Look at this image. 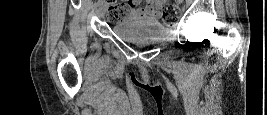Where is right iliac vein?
Wrapping results in <instances>:
<instances>
[{
	"label": "right iliac vein",
	"instance_id": "obj_1",
	"mask_svg": "<svg viewBox=\"0 0 267 115\" xmlns=\"http://www.w3.org/2000/svg\"><path fill=\"white\" fill-rule=\"evenodd\" d=\"M106 10H107V7L104 4H102L100 6V8H99V13H98L99 14V17L102 18L105 15Z\"/></svg>",
	"mask_w": 267,
	"mask_h": 115
}]
</instances>
